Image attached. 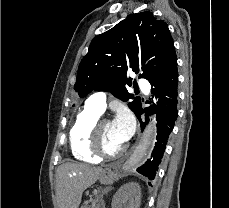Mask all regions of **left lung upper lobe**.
<instances>
[{"label":"left lung upper lobe","mask_w":229,"mask_h":208,"mask_svg":"<svg viewBox=\"0 0 229 208\" xmlns=\"http://www.w3.org/2000/svg\"><path fill=\"white\" fill-rule=\"evenodd\" d=\"M176 61L167 23L149 11L135 13L92 40L79 64L74 90L80 97L96 90L110 91L123 101L134 99L128 105L136 113L141 100L127 92L126 85H132L127 72L132 70L137 74L142 70L139 78L156 84Z\"/></svg>","instance_id":"1"}]
</instances>
